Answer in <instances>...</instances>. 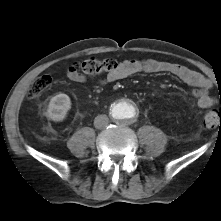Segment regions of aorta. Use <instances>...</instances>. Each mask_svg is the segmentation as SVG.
I'll use <instances>...</instances> for the list:
<instances>
[{"label": "aorta", "instance_id": "aorta-1", "mask_svg": "<svg viewBox=\"0 0 221 221\" xmlns=\"http://www.w3.org/2000/svg\"><path fill=\"white\" fill-rule=\"evenodd\" d=\"M139 114L137 105L129 99H120L116 101L111 109L110 115L112 119L119 124H130Z\"/></svg>", "mask_w": 221, "mask_h": 221}]
</instances>
